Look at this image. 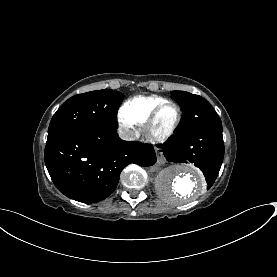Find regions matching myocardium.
<instances>
[{
	"label": "myocardium",
	"mask_w": 277,
	"mask_h": 277,
	"mask_svg": "<svg viewBox=\"0 0 277 277\" xmlns=\"http://www.w3.org/2000/svg\"><path fill=\"white\" fill-rule=\"evenodd\" d=\"M168 106H174L177 111L176 121L173 124V126L164 134H158L154 131L157 119L161 113V111L168 107ZM182 120V112L180 106L173 101H165L159 104L150 114L147 121L144 123V131L147 135V137L153 141V142H164L167 139H169L171 136L174 135V133L177 131L180 123Z\"/></svg>",
	"instance_id": "f54148a6"
}]
</instances>
